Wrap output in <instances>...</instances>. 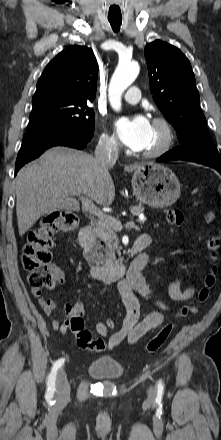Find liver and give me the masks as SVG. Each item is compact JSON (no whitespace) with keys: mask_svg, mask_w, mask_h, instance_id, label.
<instances>
[{"mask_svg":"<svg viewBox=\"0 0 221 440\" xmlns=\"http://www.w3.org/2000/svg\"><path fill=\"white\" fill-rule=\"evenodd\" d=\"M140 165H127L124 170L130 172ZM110 167L88 153L60 146L24 166L15 180L19 235L23 236L43 215L79 211L75 197L82 194L109 206L115 197Z\"/></svg>","mask_w":221,"mask_h":440,"instance_id":"1","label":"liver"}]
</instances>
